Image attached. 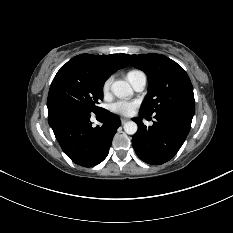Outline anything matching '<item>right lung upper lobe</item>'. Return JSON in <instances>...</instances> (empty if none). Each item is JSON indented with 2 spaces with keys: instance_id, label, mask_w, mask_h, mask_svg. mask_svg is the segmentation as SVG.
Segmentation results:
<instances>
[{
  "instance_id": "right-lung-upper-lobe-1",
  "label": "right lung upper lobe",
  "mask_w": 233,
  "mask_h": 233,
  "mask_svg": "<svg viewBox=\"0 0 233 233\" xmlns=\"http://www.w3.org/2000/svg\"><path fill=\"white\" fill-rule=\"evenodd\" d=\"M121 56L123 54H80L63 65L60 70H79L106 81L111 74L127 66V63Z\"/></svg>"
}]
</instances>
